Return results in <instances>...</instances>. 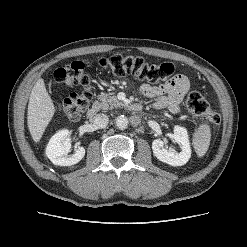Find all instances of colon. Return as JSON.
Returning a JSON list of instances; mask_svg holds the SVG:
<instances>
[{"label": "colon", "instance_id": "obj_1", "mask_svg": "<svg viewBox=\"0 0 247 247\" xmlns=\"http://www.w3.org/2000/svg\"><path fill=\"white\" fill-rule=\"evenodd\" d=\"M101 69L117 77L132 74L141 80L152 83L166 80L175 67L171 63H149L143 57L132 55H114L98 61ZM54 84L72 87L81 85L83 89L71 93L57 106L58 111L69 119H77L88 108L92 96V79L86 72L83 62H72L54 72ZM188 109L195 115L202 116L207 123L216 127L221 122L219 113L210 109L208 102L199 92H191L186 101Z\"/></svg>", "mask_w": 247, "mask_h": 247}]
</instances>
